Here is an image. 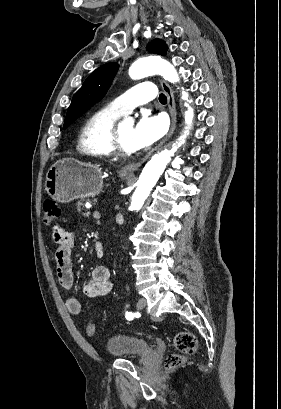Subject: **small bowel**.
<instances>
[{
	"instance_id": "obj_1",
	"label": "small bowel",
	"mask_w": 281,
	"mask_h": 409,
	"mask_svg": "<svg viewBox=\"0 0 281 409\" xmlns=\"http://www.w3.org/2000/svg\"><path fill=\"white\" fill-rule=\"evenodd\" d=\"M53 240L56 245L55 261L59 284L62 289L70 290L74 281L72 261L74 234L62 226H55ZM94 251L98 258H102L105 253L103 244L99 241L95 242ZM112 290L111 270L107 266H96L85 284V294L89 297H103L110 294ZM65 305L70 314L79 315L81 313V306L76 298L68 297Z\"/></svg>"
}]
</instances>
